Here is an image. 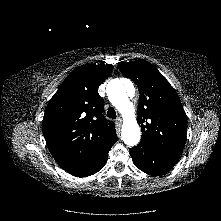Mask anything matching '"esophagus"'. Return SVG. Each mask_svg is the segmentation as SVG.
<instances>
[{"label":"esophagus","instance_id":"34e87169","mask_svg":"<svg viewBox=\"0 0 221 221\" xmlns=\"http://www.w3.org/2000/svg\"><path fill=\"white\" fill-rule=\"evenodd\" d=\"M117 124L120 126L122 124V119L121 118H117L116 119Z\"/></svg>","mask_w":221,"mask_h":221}]
</instances>
